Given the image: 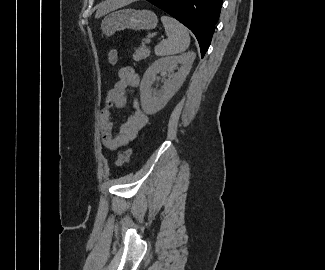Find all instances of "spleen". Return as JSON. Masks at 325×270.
Wrapping results in <instances>:
<instances>
[{"label":"spleen","instance_id":"3e777b00","mask_svg":"<svg viewBox=\"0 0 325 270\" xmlns=\"http://www.w3.org/2000/svg\"><path fill=\"white\" fill-rule=\"evenodd\" d=\"M161 21L165 28L167 39L162 40L155 47V54L157 56H168L186 51L190 44L187 28L169 16H162Z\"/></svg>","mask_w":325,"mask_h":270}]
</instances>
